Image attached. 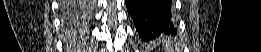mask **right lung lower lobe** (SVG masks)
Returning <instances> with one entry per match:
<instances>
[{"mask_svg":"<svg viewBox=\"0 0 261 52\" xmlns=\"http://www.w3.org/2000/svg\"><path fill=\"white\" fill-rule=\"evenodd\" d=\"M67 10V16H73L78 11V4L64 3Z\"/></svg>","mask_w":261,"mask_h":52,"instance_id":"1","label":"right lung lower lobe"}]
</instances>
